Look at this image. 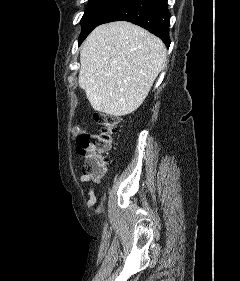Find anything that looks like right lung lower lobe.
Returning a JSON list of instances; mask_svg holds the SVG:
<instances>
[{
    "mask_svg": "<svg viewBox=\"0 0 240 281\" xmlns=\"http://www.w3.org/2000/svg\"><path fill=\"white\" fill-rule=\"evenodd\" d=\"M169 19L167 0H120L100 19L97 26L112 21H129L147 29L169 46Z\"/></svg>",
    "mask_w": 240,
    "mask_h": 281,
    "instance_id": "obj_1",
    "label": "right lung lower lobe"
}]
</instances>
